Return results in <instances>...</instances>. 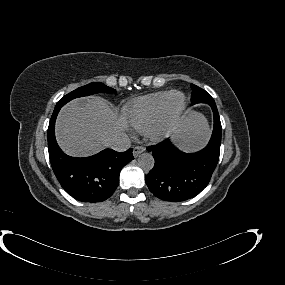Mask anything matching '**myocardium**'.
Masks as SVG:
<instances>
[{
    "label": "myocardium",
    "mask_w": 285,
    "mask_h": 285,
    "mask_svg": "<svg viewBox=\"0 0 285 285\" xmlns=\"http://www.w3.org/2000/svg\"><path fill=\"white\" fill-rule=\"evenodd\" d=\"M185 108V96L181 92L173 91L165 104L161 116L146 129L145 134L148 139L152 142H161L168 138Z\"/></svg>",
    "instance_id": "obj_1"
}]
</instances>
